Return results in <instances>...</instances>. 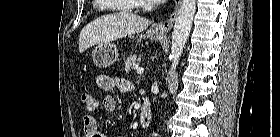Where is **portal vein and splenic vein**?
<instances>
[{
    "label": "portal vein and splenic vein",
    "mask_w": 280,
    "mask_h": 137,
    "mask_svg": "<svg viewBox=\"0 0 280 137\" xmlns=\"http://www.w3.org/2000/svg\"><path fill=\"white\" fill-rule=\"evenodd\" d=\"M136 71L138 74H142L144 72V68L138 67Z\"/></svg>",
    "instance_id": "1"
}]
</instances>
